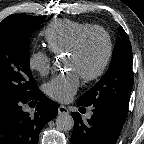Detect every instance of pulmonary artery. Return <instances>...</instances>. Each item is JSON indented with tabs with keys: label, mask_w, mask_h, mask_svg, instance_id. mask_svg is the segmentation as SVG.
<instances>
[{
	"label": "pulmonary artery",
	"mask_w": 144,
	"mask_h": 144,
	"mask_svg": "<svg viewBox=\"0 0 144 144\" xmlns=\"http://www.w3.org/2000/svg\"><path fill=\"white\" fill-rule=\"evenodd\" d=\"M91 115H92V114H91V113H89V114H88V117H91Z\"/></svg>",
	"instance_id": "pulmonary-artery-1"
}]
</instances>
